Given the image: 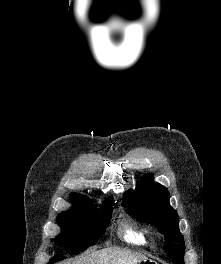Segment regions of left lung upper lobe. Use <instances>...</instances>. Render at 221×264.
<instances>
[{"label":"left lung upper lobe","instance_id":"5c2ea615","mask_svg":"<svg viewBox=\"0 0 221 264\" xmlns=\"http://www.w3.org/2000/svg\"><path fill=\"white\" fill-rule=\"evenodd\" d=\"M169 198L164 186L155 183L151 175H145L135 190L124 193L122 202L130 215L156 226L168 243L164 245L165 253L176 263L184 264V238L179 231L177 212L170 206Z\"/></svg>","mask_w":221,"mask_h":264}]
</instances>
